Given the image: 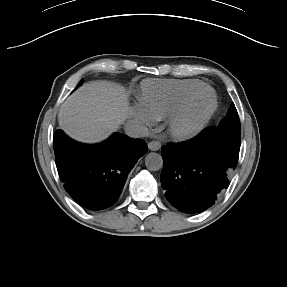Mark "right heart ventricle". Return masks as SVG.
Wrapping results in <instances>:
<instances>
[{"label":"right heart ventricle","instance_id":"obj_1","mask_svg":"<svg viewBox=\"0 0 287 287\" xmlns=\"http://www.w3.org/2000/svg\"><path fill=\"white\" fill-rule=\"evenodd\" d=\"M205 86L200 80L147 79L141 83L139 103L154 120L169 118L188 94Z\"/></svg>","mask_w":287,"mask_h":287}]
</instances>
